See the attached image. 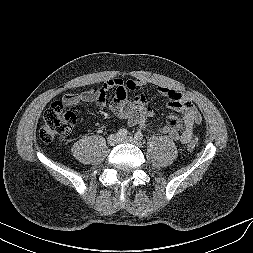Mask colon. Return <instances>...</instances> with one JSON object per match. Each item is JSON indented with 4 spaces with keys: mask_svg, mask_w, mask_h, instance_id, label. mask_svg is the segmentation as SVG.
Returning <instances> with one entry per match:
<instances>
[{
    "mask_svg": "<svg viewBox=\"0 0 253 253\" xmlns=\"http://www.w3.org/2000/svg\"><path fill=\"white\" fill-rule=\"evenodd\" d=\"M78 111L79 107L76 104L67 106L60 101L54 102L44 113L40 129L41 139L50 142L69 134L77 121ZM197 144V140L192 138L188 143V149L194 150Z\"/></svg>",
    "mask_w": 253,
    "mask_h": 253,
    "instance_id": "1",
    "label": "colon"
}]
</instances>
